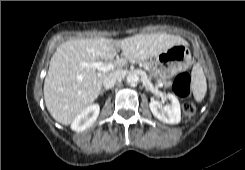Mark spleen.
I'll list each match as a JSON object with an SVG mask.
<instances>
[{"mask_svg":"<svg viewBox=\"0 0 245 170\" xmlns=\"http://www.w3.org/2000/svg\"><path fill=\"white\" fill-rule=\"evenodd\" d=\"M191 89L193 96L197 102H201L207 91L206 77L203 72V68L199 63H196L191 72Z\"/></svg>","mask_w":245,"mask_h":170,"instance_id":"1","label":"spleen"}]
</instances>
